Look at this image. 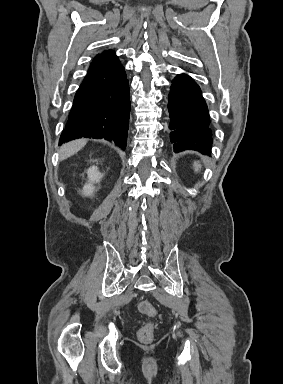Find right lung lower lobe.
<instances>
[{
	"mask_svg": "<svg viewBox=\"0 0 283 384\" xmlns=\"http://www.w3.org/2000/svg\"><path fill=\"white\" fill-rule=\"evenodd\" d=\"M129 84L120 62L90 71L74 97L59 145L78 138L114 141L127 145L130 114Z\"/></svg>",
	"mask_w": 283,
	"mask_h": 384,
	"instance_id": "obj_1",
	"label": "right lung lower lobe"
}]
</instances>
